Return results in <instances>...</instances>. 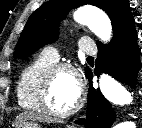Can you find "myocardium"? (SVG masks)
<instances>
[{
  "label": "myocardium",
  "mask_w": 142,
  "mask_h": 128,
  "mask_svg": "<svg viewBox=\"0 0 142 128\" xmlns=\"http://www.w3.org/2000/svg\"><path fill=\"white\" fill-rule=\"evenodd\" d=\"M60 71L70 72L75 77V80L77 82V87H78V96H77L76 102L73 104V106H71L69 109L64 111H59L54 109L51 106L49 101V94H50L52 81L55 75ZM38 100H39L41 109L51 116L67 117L74 114L76 111H78L84 103L85 91H84L82 80L76 68L69 63H57L52 65L50 68H48L46 72L44 73L40 83Z\"/></svg>",
  "instance_id": "1"
}]
</instances>
